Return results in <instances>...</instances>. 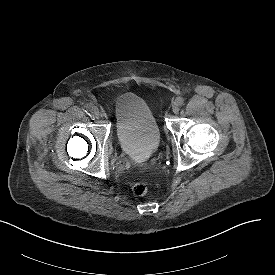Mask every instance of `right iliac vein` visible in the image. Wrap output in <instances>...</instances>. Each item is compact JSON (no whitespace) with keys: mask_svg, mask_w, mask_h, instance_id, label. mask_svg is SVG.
Listing matches in <instances>:
<instances>
[{"mask_svg":"<svg viewBox=\"0 0 275 275\" xmlns=\"http://www.w3.org/2000/svg\"><path fill=\"white\" fill-rule=\"evenodd\" d=\"M92 113L94 114L95 117H99L100 112L99 109L97 107H93Z\"/></svg>","mask_w":275,"mask_h":275,"instance_id":"obj_1","label":"right iliac vein"}]
</instances>
